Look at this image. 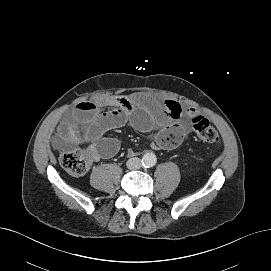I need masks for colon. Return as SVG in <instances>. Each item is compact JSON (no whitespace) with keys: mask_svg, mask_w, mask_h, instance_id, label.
<instances>
[{"mask_svg":"<svg viewBox=\"0 0 271 271\" xmlns=\"http://www.w3.org/2000/svg\"><path fill=\"white\" fill-rule=\"evenodd\" d=\"M191 126L198 138L209 145H216L220 141L217 130L210 121L201 114L191 117ZM94 154L90 149H74L66 152L61 157V165L72 177L84 175L90 168Z\"/></svg>","mask_w":271,"mask_h":271,"instance_id":"1","label":"colon"}]
</instances>
